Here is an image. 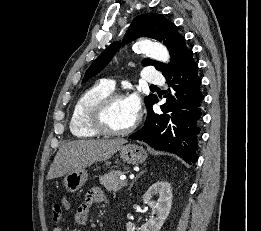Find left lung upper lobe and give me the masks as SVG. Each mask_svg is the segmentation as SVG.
Segmentation results:
<instances>
[{
  "label": "left lung upper lobe",
  "instance_id": "1",
  "mask_svg": "<svg viewBox=\"0 0 261 231\" xmlns=\"http://www.w3.org/2000/svg\"><path fill=\"white\" fill-rule=\"evenodd\" d=\"M140 36H146L163 42L168 48L171 56L169 65L151 59H145L144 65H152L157 70L166 75L180 65L186 57L192 54L185 44V38L177 31L174 23L168 21L163 15L147 13L137 16L131 23L125 41H132ZM119 44H111L100 56L91 64L85 73L83 82L87 81L99 71H101L114 56ZM156 96L150 94L144 98L146 108L155 100Z\"/></svg>",
  "mask_w": 261,
  "mask_h": 231
}]
</instances>
